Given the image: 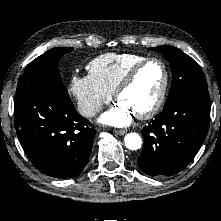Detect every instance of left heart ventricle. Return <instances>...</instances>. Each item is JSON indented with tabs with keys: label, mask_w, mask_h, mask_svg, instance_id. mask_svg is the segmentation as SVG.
<instances>
[{
	"label": "left heart ventricle",
	"mask_w": 221,
	"mask_h": 221,
	"mask_svg": "<svg viewBox=\"0 0 221 221\" xmlns=\"http://www.w3.org/2000/svg\"><path fill=\"white\" fill-rule=\"evenodd\" d=\"M164 78L158 63H150L137 75L134 82L118 98L135 115L149 109L156 101Z\"/></svg>",
	"instance_id": "left-heart-ventricle-1"
}]
</instances>
